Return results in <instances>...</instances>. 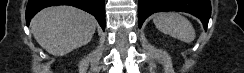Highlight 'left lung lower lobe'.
<instances>
[{"mask_svg":"<svg viewBox=\"0 0 244 73\" xmlns=\"http://www.w3.org/2000/svg\"><path fill=\"white\" fill-rule=\"evenodd\" d=\"M162 11L190 13L198 17L206 29L211 16V3L210 0H138L139 28L148 16Z\"/></svg>","mask_w":244,"mask_h":73,"instance_id":"obj_1","label":"left lung lower lobe"}]
</instances>
